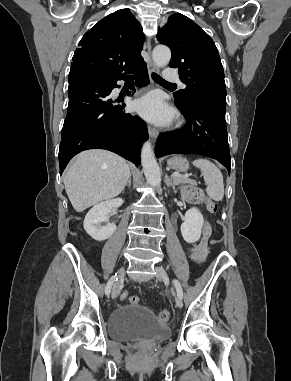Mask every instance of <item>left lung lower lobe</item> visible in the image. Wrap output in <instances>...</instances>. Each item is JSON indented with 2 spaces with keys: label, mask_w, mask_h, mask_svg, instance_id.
I'll return each instance as SVG.
<instances>
[{
  "label": "left lung lower lobe",
  "mask_w": 291,
  "mask_h": 381,
  "mask_svg": "<svg viewBox=\"0 0 291 381\" xmlns=\"http://www.w3.org/2000/svg\"><path fill=\"white\" fill-rule=\"evenodd\" d=\"M175 104L186 116V126L172 133L159 135L155 155L199 154L218 160L230 174L231 158L225 120L226 103L192 99L186 104Z\"/></svg>",
  "instance_id": "obj_1"
}]
</instances>
